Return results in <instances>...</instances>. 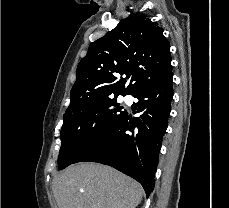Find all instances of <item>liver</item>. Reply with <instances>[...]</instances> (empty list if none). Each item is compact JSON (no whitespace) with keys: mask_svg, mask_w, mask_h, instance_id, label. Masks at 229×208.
Returning <instances> with one entry per match:
<instances>
[{"mask_svg":"<svg viewBox=\"0 0 229 208\" xmlns=\"http://www.w3.org/2000/svg\"><path fill=\"white\" fill-rule=\"evenodd\" d=\"M53 192L58 208H136L142 186L109 166L80 162L55 176Z\"/></svg>","mask_w":229,"mask_h":208,"instance_id":"obj_1","label":"liver"}]
</instances>
